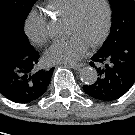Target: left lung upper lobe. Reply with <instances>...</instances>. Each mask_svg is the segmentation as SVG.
<instances>
[{"instance_id": "obj_1", "label": "left lung upper lobe", "mask_w": 135, "mask_h": 135, "mask_svg": "<svg viewBox=\"0 0 135 135\" xmlns=\"http://www.w3.org/2000/svg\"><path fill=\"white\" fill-rule=\"evenodd\" d=\"M112 8V25L101 49L135 35V1L109 0Z\"/></svg>"}]
</instances>
